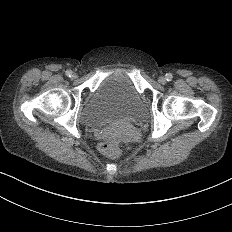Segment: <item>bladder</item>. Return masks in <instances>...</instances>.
Masks as SVG:
<instances>
[{
  "instance_id": "obj_1",
  "label": "bladder",
  "mask_w": 232,
  "mask_h": 232,
  "mask_svg": "<svg viewBox=\"0 0 232 232\" xmlns=\"http://www.w3.org/2000/svg\"><path fill=\"white\" fill-rule=\"evenodd\" d=\"M146 105L131 78L123 73L105 75L80 110V121L98 128L120 120L141 121Z\"/></svg>"
}]
</instances>
